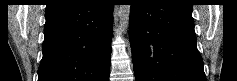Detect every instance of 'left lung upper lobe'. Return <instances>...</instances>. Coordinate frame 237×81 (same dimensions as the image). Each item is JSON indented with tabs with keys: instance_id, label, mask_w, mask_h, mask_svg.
<instances>
[{
	"instance_id": "1",
	"label": "left lung upper lobe",
	"mask_w": 237,
	"mask_h": 81,
	"mask_svg": "<svg viewBox=\"0 0 237 81\" xmlns=\"http://www.w3.org/2000/svg\"><path fill=\"white\" fill-rule=\"evenodd\" d=\"M179 1H181V2H185V3H191V1L190 0H179Z\"/></svg>"
}]
</instances>
